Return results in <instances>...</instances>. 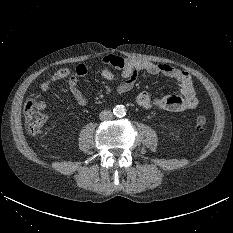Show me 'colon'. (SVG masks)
Here are the masks:
<instances>
[{
    "label": "colon",
    "instance_id": "1",
    "mask_svg": "<svg viewBox=\"0 0 233 233\" xmlns=\"http://www.w3.org/2000/svg\"><path fill=\"white\" fill-rule=\"evenodd\" d=\"M44 107L43 102L36 98H30L25 102L24 117L27 130L30 134H37L40 132L46 120L43 112ZM195 122L198 127H203L207 123V118L203 115H198L195 118Z\"/></svg>",
    "mask_w": 233,
    "mask_h": 233
}]
</instances>
